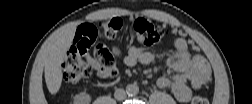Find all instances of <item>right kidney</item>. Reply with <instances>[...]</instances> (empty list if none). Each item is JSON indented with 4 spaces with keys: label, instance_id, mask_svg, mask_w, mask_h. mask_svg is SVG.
I'll return each instance as SVG.
<instances>
[{
    "label": "right kidney",
    "instance_id": "1",
    "mask_svg": "<svg viewBox=\"0 0 252 104\" xmlns=\"http://www.w3.org/2000/svg\"><path fill=\"white\" fill-rule=\"evenodd\" d=\"M74 101L77 104H88L91 101V97L89 94L82 92L75 96Z\"/></svg>",
    "mask_w": 252,
    "mask_h": 104
}]
</instances>
